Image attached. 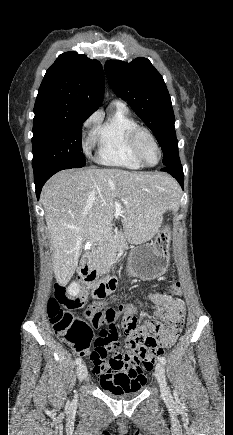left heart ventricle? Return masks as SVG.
<instances>
[{
	"label": "left heart ventricle",
	"instance_id": "1",
	"mask_svg": "<svg viewBox=\"0 0 233 435\" xmlns=\"http://www.w3.org/2000/svg\"><path fill=\"white\" fill-rule=\"evenodd\" d=\"M140 142L142 152L146 161L149 164H155L158 161L159 156L154 144L146 136H142Z\"/></svg>",
	"mask_w": 233,
	"mask_h": 435
}]
</instances>
